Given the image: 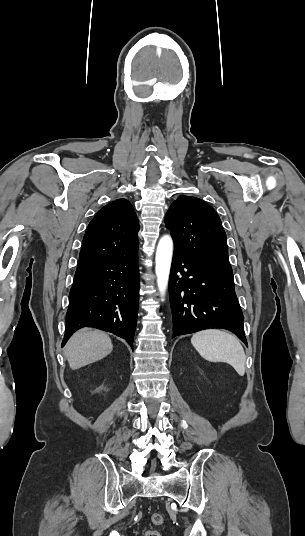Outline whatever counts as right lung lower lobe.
I'll use <instances>...</instances> for the list:
<instances>
[{
	"label": "right lung lower lobe",
	"mask_w": 305,
	"mask_h": 536,
	"mask_svg": "<svg viewBox=\"0 0 305 536\" xmlns=\"http://www.w3.org/2000/svg\"><path fill=\"white\" fill-rule=\"evenodd\" d=\"M138 304V252L78 267L62 346L74 331L88 326L124 338L133 347Z\"/></svg>",
	"instance_id": "right-lung-lower-lobe-1"
}]
</instances>
